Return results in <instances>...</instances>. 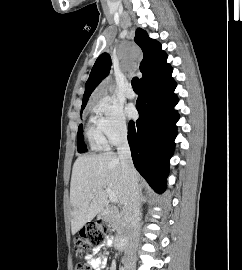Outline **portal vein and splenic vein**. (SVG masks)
<instances>
[{
    "mask_svg": "<svg viewBox=\"0 0 242 270\" xmlns=\"http://www.w3.org/2000/svg\"><path fill=\"white\" fill-rule=\"evenodd\" d=\"M105 190H106V193H107L110 201L112 203H116L118 201L116 194L109 187H106ZM95 191H96L95 189L92 190V192H95Z\"/></svg>",
    "mask_w": 242,
    "mask_h": 270,
    "instance_id": "portal-vein-and-splenic-vein-1",
    "label": "portal vein and splenic vein"
}]
</instances>
